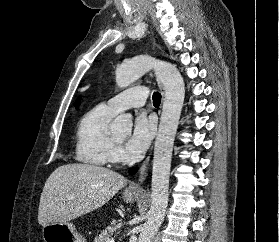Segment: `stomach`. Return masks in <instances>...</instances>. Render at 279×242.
<instances>
[{
  "mask_svg": "<svg viewBox=\"0 0 279 242\" xmlns=\"http://www.w3.org/2000/svg\"><path fill=\"white\" fill-rule=\"evenodd\" d=\"M138 194L123 193L124 201L133 203L138 199ZM42 237L44 242H84V238L78 235L75 226L70 222L51 223L43 227Z\"/></svg>",
  "mask_w": 279,
  "mask_h": 242,
  "instance_id": "0dacf381",
  "label": "stomach"
}]
</instances>
